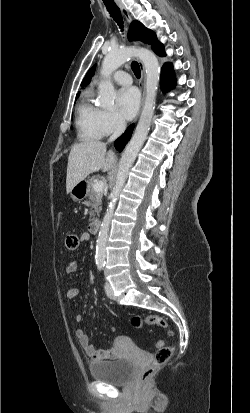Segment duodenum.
Returning <instances> with one entry per match:
<instances>
[{
  "instance_id": "duodenum-1",
  "label": "duodenum",
  "mask_w": 250,
  "mask_h": 413,
  "mask_svg": "<svg viewBox=\"0 0 250 413\" xmlns=\"http://www.w3.org/2000/svg\"><path fill=\"white\" fill-rule=\"evenodd\" d=\"M100 226H101L100 220L92 221L91 224H90V227H89L90 232L92 234H97L99 232Z\"/></svg>"
}]
</instances>
